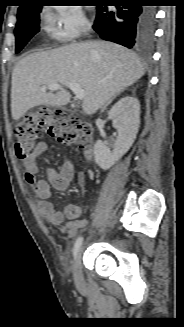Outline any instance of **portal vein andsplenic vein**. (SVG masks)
Segmentation results:
<instances>
[{"label":"portal vein and splenic vein","instance_id":"obj_1","mask_svg":"<svg viewBox=\"0 0 184 327\" xmlns=\"http://www.w3.org/2000/svg\"><path fill=\"white\" fill-rule=\"evenodd\" d=\"M63 87L69 88L75 94V97L77 99L82 100L84 98V90L78 84H75V83H69L66 85L53 83V84H49L47 86L41 87L40 90L42 92H45L47 90L54 91V90L62 89Z\"/></svg>","mask_w":184,"mask_h":327}]
</instances>
